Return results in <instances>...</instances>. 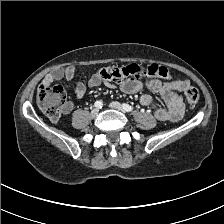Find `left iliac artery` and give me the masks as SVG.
<instances>
[{"label":"left iliac artery","instance_id":"44dca946","mask_svg":"<svg viewBox=\"0 0 224 224\" xmlns=\"http://www.w3.org/2000/svg\"><path fill=\"white\" fill-rule=\"evenodd\" d=\"M122 108H123L125 111H127V112H131V111L133 110V107L130 106L129 104H126V103H124V104L122 105Z\"/></svg>","mask_w":224,"mask_h":224}]
</instances>
